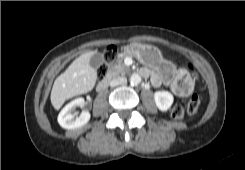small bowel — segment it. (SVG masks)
<instances>
[{
    "mask_svg": "<svg viewBox=\"0 0 245 170\" xmlns=\"http://www.w3.org/2000/svg\"><path fill=\"white\" fill-rule=\"evenodd\" d=\"M141 74L150 76V83L153 87L158 88L161 85L172 88L176 79H185L186 74L182 70L176 69L172 64L164 62L155 72L149 69H142Z\"/></svg>",
    "mask_w": 245,
    "mask_h": 170,
    "instance_id": "c3829d8e",
    "label": "small bowel"
}]
</instances>
